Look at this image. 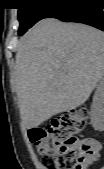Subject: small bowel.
I'll return each mask as SVG.
<instances>
[{"instance_id": "obj_1", "label": "small bowel", "mask_w": 104, "mask_h": 169, "mask_svg": "<svg viewBox=\"0 0 104 169\" xmlns=\"http://www.w3.org/2000/svg\"><path fill=\"white\" fill-rule=\"evenodd\" d=\"M89 140H90L92 143L95 144L97 153H98V155H99V153H100V151H101V148H102L100 142H98V141L95 140V139H89Z\"/></svg>"}]
</instances>
